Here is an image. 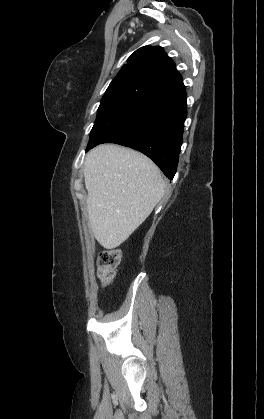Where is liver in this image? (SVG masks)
<instances>
[{"instance_id": "obj_1", "label": "liver", "mask_w": 264, "mask_h": 419, "mask_svg": "<svg viewBox=\"0 0 264 419\" xmlns=\"http://www.w3.org/2000/svg\"><path fill=\"white\" fill-rule=\"evenodd\" d=\"M90 229L106 249L122 244L165 193L159 168L135 150L102 144L84 163Z\"/></svg>"}]
</instances>
